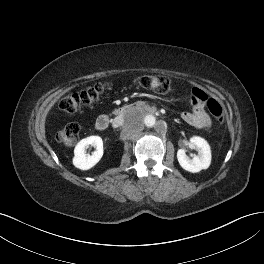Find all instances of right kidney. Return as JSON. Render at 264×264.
I'll list each match as a JSON object with an SVG mask.
<instances>
[{
	"mask_svg": "<svg viewBox=\"0 0 264 264\" xmlns=\"http://www.w3.org/2000/svg\"><path fill=\"white\" fill-rule=\"evenodd\" d=\"M94 146L96 150L92 155L86 154V148ZM103 141L99 136H90L82 139L74 149L73 165L81 170L94 167L103 156Z\"/></svg>",
	"mask_w": 264,
	"mask_h": 264,
	"instance_id": "obj_1",
	"label": "right kidney"
}]
</instances>
